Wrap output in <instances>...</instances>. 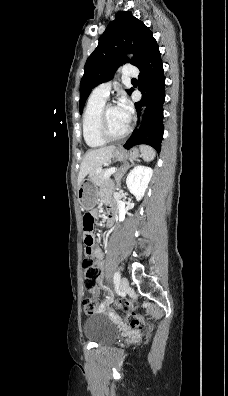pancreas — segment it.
Segmentation results:
<instances>
[{
	"label": "pancreas",
	"instance_id": "pancreas-1",
	"mask_svg": "<svg viewBox=\"0 0 228 396\" xmlns=\"http://www.w3.org/2000/svg\"><path fill=\"white\" fill-rule=\"evenodd\" d=\"M106 170H100V171H94L90 175L91 181L96 185V186H101L105 183L107 178H104V173Z\"/></svg>",
	"mask_w": 228,
	"mask_h": 396
}]
</instances>
